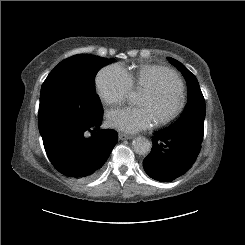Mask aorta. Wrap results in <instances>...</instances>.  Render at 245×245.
<instances>
[{"mask_svg":"<svg viewBox=\"0 0 245 245\" xmlns=\"http://www.w3.org/2000/svg\"><path fill=\"white\" fill-rule=\"evenodd\" d=\"M129 101L132 104H137L139 102V96L136 92H132L129 95ZM132 147L135 151V153L139 155H146L151 150V143L150 141L145 137H137L132 142Z\"/></svg>","mask_w":245,"mask_h":245,"instance_id":"762f6f07","label":"aorta"}]
</instances>
